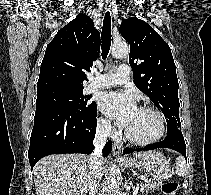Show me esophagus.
<instances>
[{
  "label": "esophagus",
  "mask_w": 211,
  "mask_h": 195,
  "mask_svg": "<svg viewBox=\"0 0 211 195\" xmlns=\"http://www.w3.org/2000/svg\"><path fill=\"white\" fill-rule=\"evenodd\" d=\"M105 9L106 10L110 9V4L108 2L105 4ZM112 151H113V155L114 156L122 157V155H121V153H122V146L119 143H117V142L113 143Z\"/></svg>",
  "instance_id": "obj_1"
}]
</instances>
